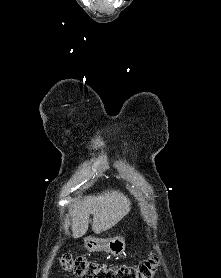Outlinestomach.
Listing matches in <instances>:
<instances>
[{"mask_svg":"<svg viewBox=\"0 0 221 278\" xmlns=\"http://www.w3.org/2000/svg\"><path fill=\"white\" fill-rule=\"evenodd\" d=\"M85 248L89 252L103 251L113 256H119L125 251V240L120 236L109 239L88 237L85 239Z\"/></svg>","mask_w":221,"mask_h":278,"instance_id":"1","label":"stomach"}]
</instances>
